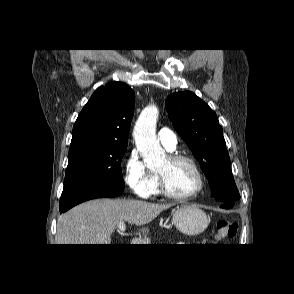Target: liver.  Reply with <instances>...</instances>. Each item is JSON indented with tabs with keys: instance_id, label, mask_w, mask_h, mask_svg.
Listing matches in <instances>:
<instances>
[{
	"instance_id": "1",
	"label": "liver",
	"mask_w": 294,
	"mask_h": 294,
	"mask_svg": "<svg viewBox=\"0 0 294 294\" xmlns=\"http://www.w3.org/2000/svg\"><path fill=\"white\" fill-rule=\"evenodd\" d=\"M171 206L132 199L87 201L58 219L56 244H110L119 223L143 226Z\"/></svg>"
}]
</instances>
